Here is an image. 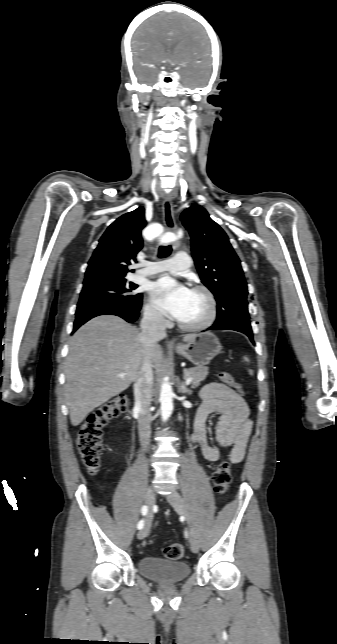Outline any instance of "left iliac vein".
I'll return each instance as SVG.
<instances>
[{
  "label": "left iliac vein",
  "mask_w": 337,
  "mask_h": 644,
  "mask_svg": "<svg viewBox=\"0 0 337 644\" xmlns=\"http://www.w3.org/2000/svg\"><path fill=\"white\" fill-rule=\"evenodd\" d=\"M167 500L179 514H182L187 518L188 523H189V525L191 527V522H190V519H189L187 506H186L183 498L179 495V493H177L176 491H173L172 493L167 495ZM189 542H190V548H191L192 552L197 553L199 551V541H198L197 535H196L195 531L192 529V527H191V531H190Z\"/></svg>",
  "instance_id": "left-iliac-vein-1"
}]
</instances>
